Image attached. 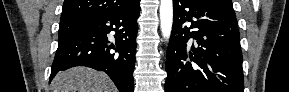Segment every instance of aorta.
Returning a JSON list of instances; mask_svg holds the SVG:
<instances>
[{
    "label": "aorta",
    "instance_id": "762f6f07",
    "mask_svg": "<svg viewBox=\"0 0 289 92\" xmlns=\"http://www.w3.org/2000/svg\"><path fill=\"white\" fill-rule=\"evenodd\" d=\"M159 14L162 35L166 40H169L173 24L172 0H160Z\"/></svg>",
    "mask_w": 289,
    "mask_h": 92
}]
</instances>
